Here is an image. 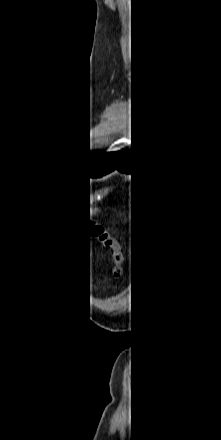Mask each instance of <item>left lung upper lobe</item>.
I'll use <instances>...</instances> for the list:
<instances>
[{"mask_svg":"<svg viewBox=\"0 0 221 440\" xmlns=\"http://www.w3.org/2000/svg\"><path fill=\"white\" fill-rule=\"evenodd\" d=\"M128 152V149H120L117 152H110V153H99L95 155L92 159V168L94 173H97L99 170H103L104 168H108L111 165H114L117 163L120 159H122L126 153Z\"/></svg>","mask_w":221,"mask_h":440,"instance_id":"left-lung-upper-lobe-1","label":"left lung upper lobe"}]
</instances>
